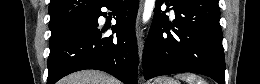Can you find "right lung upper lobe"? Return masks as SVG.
<instances>
[{"instance_id":"obj_1","label":"right lung upper lobe","mask_w":260,"mask_h":84,"mask_svg":"<svg viewBox=\"0 0 260 84\" xmlns=\"http://www.w3.org/2000/svg\"><path fill=\"white\" fill-rule=\"evenodd\" d=\"M106 0H51L49 28L95 13Z\"/></svg>"}]
</instances>
